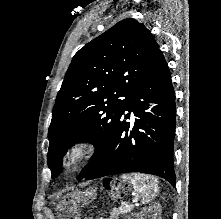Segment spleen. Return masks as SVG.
<instances>
[{"instance_id":"spleen-1","label":"spleen","mask_w":221,"mask_h":219,"mask_svg":"<svg viewBox=\"0 0 221 219\" xmlns=\"http://www.w3.org/2000/svg\"><path fill=\"white\" fill-rule=\"evenodd\" d=\"M124 180H130L134 191L141 197L142 203L146 204L153 200L158 192V180L152 176L133 174L122 175Z\"/></svg>"}]
</instances>
